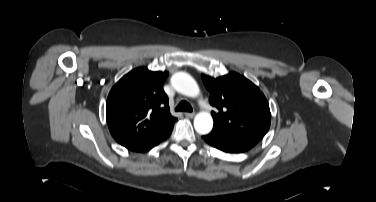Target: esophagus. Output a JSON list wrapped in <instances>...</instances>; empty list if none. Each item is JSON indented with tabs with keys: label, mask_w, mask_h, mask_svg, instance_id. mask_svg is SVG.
<instances>
[{
	"label": "esophagus",
	"mask_w": 376,
	"mask_h": 202,
	"mask_svg": "<svg viewBox=\"0 0 376 202\" xmlns=\"http://www.w3.org/2000/svg\"><path fill=\"white\" fill-rule=\"evenodd\" d=\"M185 116L188 118H193L195 116L194 112H185Z\"/></svg>",
	"instance_id": "esophagus-1"
}]
</instances>
